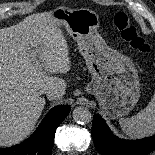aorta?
Masks as SVG:
<instances>
[{"mask_svg": "<svg viewBox=\"0 0 155 155\" xmlns=\"http://www.w3.org/2000/svg\"><path fill=\"white\" fill-rule=\"evenodd\" d=\"M91 112L85 106L76 107L73 111V120L77 123H88L91 120Z\"/></svg>", "mask_w": 155, "mask_h": 155, "instance_id": "aorta-1", "label": "aorta"}]
</instances>
